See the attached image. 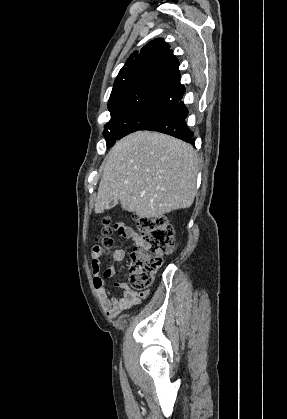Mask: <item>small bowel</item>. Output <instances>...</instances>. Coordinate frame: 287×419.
Listing matches in <instances>:
<instances>
[{
  "label": "small bowel",
  "mask_w": 287,
  "mask_h": 419,
  "mask_svg": "<svg viewBox=\"0 0 287 419\" xmlns=\"http://www.w3.org/2000/svg\"><path fill=\"white\" fill-rule=\"evenodd\" d=\"M117 232L124 237L130 238L133 243L139 240V235L129 226L124 223H119L116 226ZM101 249L94 247L92 250L91 269L93 271L94 287L104 305L107 315L110 318H116L121 313L128 311L133 305L141 303L142 299L148 297V293H137L133 291L127 283L116 282L114 287L123 290L119 297H111L110 292L105 286V281L116 275L117 269L115 265H111L105 270L101 267ZM125 253L122 249H116L112 254L114 263H120L124 260Z\"/></svg>",
  "instance_id": "1"
}]
</instances>
